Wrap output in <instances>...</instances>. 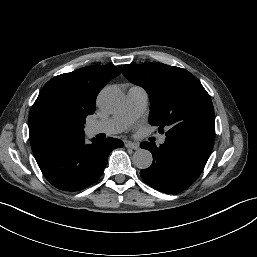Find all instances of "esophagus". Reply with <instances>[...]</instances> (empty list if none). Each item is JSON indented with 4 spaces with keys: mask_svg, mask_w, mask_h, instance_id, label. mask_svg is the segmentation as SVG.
I'll return each instance as SVG.
<instances>
[{
    "mask_svg": "<svg viewBox=\"0 0 257 257\" xmlns=\"http://www.w3.org/2000/svg\"><path fill=\"white\" fill-rule=\"evenodd\" d=\"M125 147L126 148H131V149H134V150H137L139 149V144L138 143H134V142H126L125 143Z\"/></svg>",
    "mask_w": 257,
    "mask_h": 257,
    "instance_id": "34e87169",
    "label": "esophagus"
}]
</instances>
